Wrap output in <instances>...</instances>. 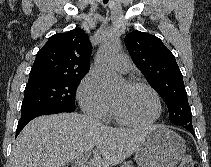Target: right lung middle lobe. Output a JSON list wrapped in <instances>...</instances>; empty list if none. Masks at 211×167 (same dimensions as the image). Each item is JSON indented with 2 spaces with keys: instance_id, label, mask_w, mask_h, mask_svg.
Masks as SVG:
<instances>
[{
  "instance_id": "1",
  "label": "right lung middle lobe",
  "mask_w": 211,
  "mask_h": 167,
  "mask_svg": "<svg viewBox=\"0 0 211 167\" xmlns=\"http://www.w3.org/2000/svg\"><path fill=\"white\" fill-rule=\"evenodd\" d=\"M83 77L28 81L21 106V117L46 109L75 110L76 89Z\"/></svg>"
}]
</instances>
